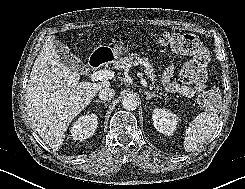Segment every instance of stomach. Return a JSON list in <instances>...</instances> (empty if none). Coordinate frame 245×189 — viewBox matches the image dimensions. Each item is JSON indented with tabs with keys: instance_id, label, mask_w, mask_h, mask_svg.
Returning a JSON list of instances; mask_svg holds the SVG:
<instances>
[{
	"instance_id": "obj_1",
	"label": "stomach",
	"mask_w": 245,
	"mask_h": 189,
	"mask_svg": "<svg viewBox=\"0 0 245 189\" xmlns=\"http://www.w3.org/2000/svg\"><path fill=\"white\" fill-rule=\"evenodd\" d=\"M98 50H102V51H109L112 53V57L113 59H118L123 53L128 51V47L119 43L116 44L113 48L110 47H106V46H101L98 47Z\"/></svg>"
}]
</instances>
